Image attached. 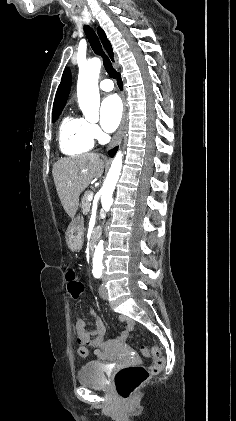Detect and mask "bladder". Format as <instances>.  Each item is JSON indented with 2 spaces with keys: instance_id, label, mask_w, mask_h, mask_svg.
I'll return each instance as SVG.
<instances>
[{
  "instance_id": "31cf9c89",
  "label": "bladder",
  "mask_w": 236,
  "mask_h": 421,
  "mask_svg": "<svg viewBox=\"0 0 236 421\" xmlns=\"http://www.w3.org/2000/svg\"><path fill=\"white\" fill-rule=\"evenodd\" d=\"M77 382L98 390H102L106 386L104 374L99 365L94 361L81 365L77 371Z\"/></svg>"
}]
</instances>
